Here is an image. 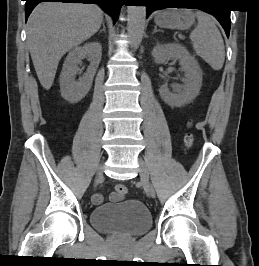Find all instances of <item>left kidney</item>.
<instances>
[{
    "label": "left kidney",
    "instance_id": "left-kidney-1",
    "mask_svg": "<svg viewBox=\"0 0 259 266\" xmlns=\"http://www.w3.org/2000/svg\"><path fill=\"white\" fill-rule=\"evenodd\" d=\"M152 56L157 64L178 59L184 71V85L181 89L171 92L167 85L160 87L159 94L165 103L181 107L197 97L202 85V71L195 57L185 47L178 43L157 44L152 50Z\"/></svg>",
    "mask_w": 259,
    "mask_h": 266
}]
</instances>
